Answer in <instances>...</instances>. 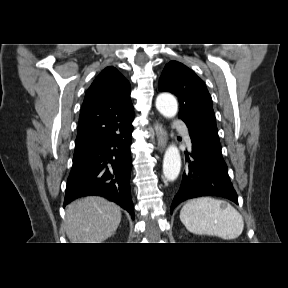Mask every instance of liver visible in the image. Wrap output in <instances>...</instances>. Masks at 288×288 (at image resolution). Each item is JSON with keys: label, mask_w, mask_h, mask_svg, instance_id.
Segmentation results:
<instances>
[{"label": "liver", "mask_w": 288, "mask_h": 288, "mask_svg": "<svg viewBox=\"0 0 288 288\" xmlns=\"http://www.w3.org/2000/svg\"><path fill=\"white\" fill-rule=\"evenodd\" d=\"M121 221V208L102 197H85L66 207V234L71 243H101Z\"/></svg>", "instance_id": "liver-1"}]
</instances>
